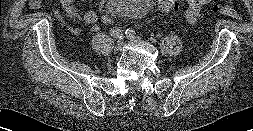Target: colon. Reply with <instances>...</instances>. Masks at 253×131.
<instances>
[{
  "mask_svg": "<svg viewBox=\"0 0 253 131\" xmlns=\"http://www.w3.org/2000/svg\"><path fill=\"white\" fill-rule=\"evenodd\" d=\"M155 5L159 11L168 12L178 7V1L177 0H156ZM213 10L214 12L218 14H221L223 16L230 17L233 19H240L241 17L239 11H237L230 4L216 5ZM100 18H101L102 24L105 27L113 26L114 18L109 12L105 11L104 13L101 14Z\"/></svg>",
  "mask_w": 253,
  "mask_h": 131,
  "instance_id": "obj_1",
  "label": "colon"
}]
</instances>
